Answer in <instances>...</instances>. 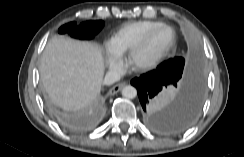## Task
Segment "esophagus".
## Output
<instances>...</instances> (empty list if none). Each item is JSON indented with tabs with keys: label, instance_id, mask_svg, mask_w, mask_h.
I'll return each mask as SVG.
<instances>
[{
	"label": "esophagus",
	"instance_id": "34e87169",
	"mask_svg": "<svg viewBox=\"0 0 244 157\" xmlns=\"http://www.w3.org/2000/svg\"><path fill=\"white\" fill-rule=\"evenodd\" d=\"M126 85L125 82L122 83H118L116 85H114L110 90H109V94L113 95L118 93L124 86Z\"/></svg>",
	"mask_w": 244,
	"mask_h": 157
}]
</instances>
